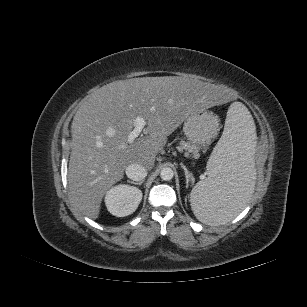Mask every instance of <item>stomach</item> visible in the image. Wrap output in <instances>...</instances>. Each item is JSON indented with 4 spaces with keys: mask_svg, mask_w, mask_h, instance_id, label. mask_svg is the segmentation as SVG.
<instances>
[{
    "mask_svg": "<svg viewBox=\"0 0 307 307\" xmlns=\"http://www.w3.org/2000/svg\"><path fill=\"white\" fill-rule=\"evenodd\" d=\"M219 130V118L212 112L197 111L184 121L183 132L196 150L206 148Z\"/></svg>",
    "mask_w": 307,
    "mask_h": 307,
    "instance_id": "1",
    "label": "stomach"
}]
</instances>
